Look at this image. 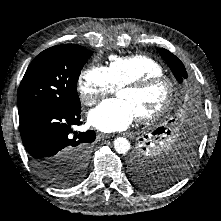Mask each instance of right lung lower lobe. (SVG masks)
Segmentation results:
<instances>
[{"label": "right lung lower lobe", "instance_id": "98d812e1", "mask_svg": "<svg viewBox=\"0 0 221 221\" xmlns=\"http://www.w3.org/2000/svg\"><path fill=\"white\" fill-rule=\"evenodd\" d=\"M79 109H66L55 105H31L19 111L20 133L30 161L37 173L63 161L68 151L90 144L96 138L94 131L74 132L80 125Z\"/></svg>", "mask_w": 221, "mask_h": 221}]
</instances>
